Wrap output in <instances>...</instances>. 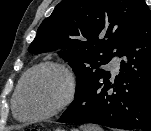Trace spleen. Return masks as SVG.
I'll return each instance as SVG.
<instances>
[{"mask_svg": "<svg viewBox=\"0 0 151 131\" xmlns=\"http://www.w3.org/2000/svg\"><path fill=\"white\" fill-rule=\"evenodd\" d=\"M80 129L82 131H103V129L97 125H82Z\"/></svg>", "mask_w": 151, "mask_h": 131, "instance_id": "spleen-1", "label": "spleen"}]
</instances>
